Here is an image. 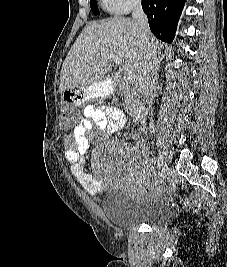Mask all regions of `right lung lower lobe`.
<instances>
[{
  "instance_id": "obj_1",
  "label": "right lung lower lobe",
  "mask_w": 227,
  "mask_h": 267,
  "mask_svg": "<svg viewBox=\"0 0 227 267\" xmlns=\"http://www.w3.org/2000/svg\"><path fill=\"white\" fill-rule=\"evenodd\" d=\"M186 0H142L149 27L160 40L171 43Z\"/></svg>"
}]
</instances>
